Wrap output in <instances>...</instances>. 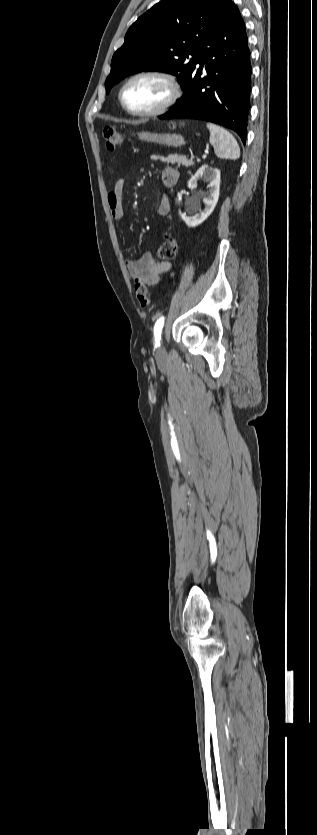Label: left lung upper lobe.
<instances>
[{"instance_id":"5c2ea615","label":"left lung upper lobe","mask_w":317,"mask_h":835,"mask_svg":"<svg viewBox=\"0 0 317 835\" xmlns=\"http://www.w3.org/2000/svg\"><path fill=\"white\" fill-rule=\"evenodd\" d=\"M231 0H164L128 29L113 55L106 93L124 77L141 71L175 75L182 89L196 68L198 53Z\"/></svg>"}]
</instances>
